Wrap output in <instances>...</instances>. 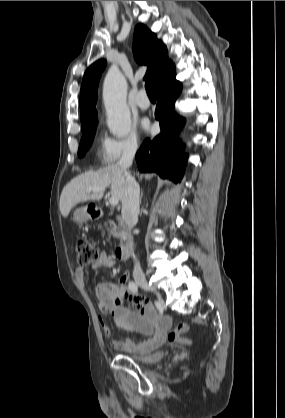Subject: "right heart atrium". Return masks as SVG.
<instances>
[{"label":"right heart atrium","mask_w":285,"mask_h":418,"mask_svg":"<svg viewBox=\"0 0 285 418\" xmlns=\"http://www.w3.org/2000/svg\"><path fill=\"white\" fill-rule=\"evenodd\" d=\"M140 147V138L135 129H130L123 137L107 138L103 145L102 160L106 165H115L132 158Z\"/></svg>","instance_id":"d8ad5b80"}]
</instances>
